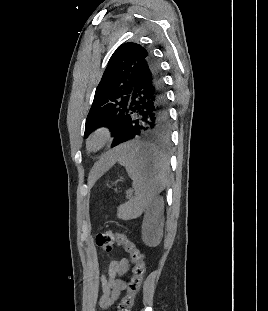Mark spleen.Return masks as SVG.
<instances>
[{
  "label": "spleen",
  "mask_w": 268,
  "mask_h": 311,
  "mask_svg": "<svg viewBox=\"0 0 268 311\" xmlns=\"http://www.w3.org/2000/svg\"><path fill=\"white\" fill-rule=\"evenodd\" d=\"M115 155L132 179L134 197L118 207L117 216L130 220L141 216L168 184L169 162L148 140H123Z\"/></svg>",
  "instance_id": "3e777b00"
}]
</instances>
